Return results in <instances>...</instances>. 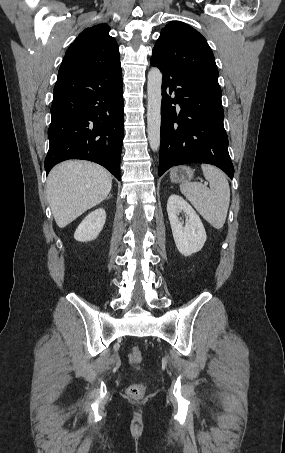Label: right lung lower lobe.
<instances>
[{
	"label": "right lung lower lobe",
	"instance_id": "right-lung-lower-lobe-1",
	"mask_svg": "<svg viewBox=\"0 0 285 453\" xmlns=\"http://www.w3.org/2000/svg\"><path fill=\"white\" fill-rule=\"evenodd\" d=\"M48 130L45 170L67 159H84L120 180L124 134L121 69L111 73L58 74Z\"/></svg>",
	"mask_w": 285,
	"mask_h": 453
}]
</instances>
